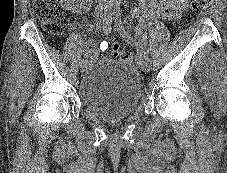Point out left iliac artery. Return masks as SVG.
Wrapping results in <instances>:
<instances>
[{"mask_svg":"<svg viewBox=\"0 0 227 173\" xmlns=\"http://www.w3.org/2000/svg\"><path fill=\"white\" fill-rule=\"evenodd\" d=\"M114 23H115V27L117 29V31L129 42V43H133V44H138V42L134 41L130 34L128 33V31L126 30V28L124 27L122 20H121V14L119 10H115L114 12V17H113ZM147 39V36L145 37ZM148 59V58H147Z\"/></svg>","mask_w":227,"mask_h":173,"instance_id":"obj_1","label":"left iliac artery"}]
</instances>
